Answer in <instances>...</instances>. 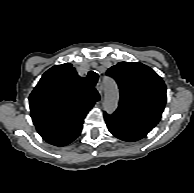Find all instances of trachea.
Segmentation results:
<instances>
[{"mask_svg": "<svg viewBox=\"0 0 194 193\" xmlns=\"http://www.w3.org/2000/svg\"><path fill=\"white\" fill-rule=\"evenodd\" d=\"M87 78H88V82H89L91 85L95 86L96 83H97V81H98V74H97L96 72H94V71H90V72L88 73Z\"/></svg>", "mask_w": 194, "mask_h": 193, "instance_id": "3493384b", "label": "trachea"}]
</instances>
